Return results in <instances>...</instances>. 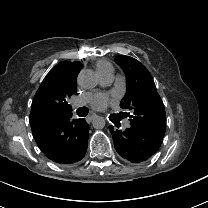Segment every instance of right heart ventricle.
Here are the masks:
<instances>
[{"mask_svg":"<svg viewBox=\"0 0 208 208\" xmlns=\"http://www.w3.org/2000/svg\"><path fill=\"white\" fill-rule=\"evenodd\" d=\"M96 70L101 76H103L107 74L109 71L113 70V67L108 61L100 60L96 64Z\"/></svg>","mask_w":208,"mask_h":208,"instance_id":"obj_1","label":"right heart ventricle"}]
</instances>
